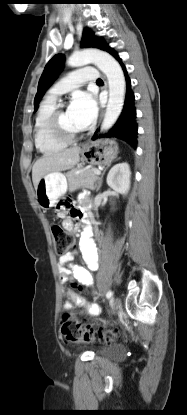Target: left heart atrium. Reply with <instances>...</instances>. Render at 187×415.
<instances>
[{
	"label": "left heart atrium",
	"mask_w": 187,
	"mask_h": 415,
	"mask_svg": "<svg viewBox=\"0 0 187 415\" xmlns=\"http://www.w3.org/2000/svg\"><path fill=\"white\" fill-rule=\"evenodd\" d=\"M68 113L82 129L87 128L96 118L97 105L88 92L76 93L69 104Z\"/></svg>",
	"instance_id": "1"
}]
</instances>
